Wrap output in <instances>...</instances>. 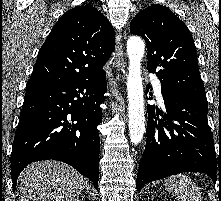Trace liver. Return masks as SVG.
I'll return each mask as SVG.
<instances>
[{
	"instance_id": "liver-1",
	"label": "liver",
	"mask_w": 221,
	"mask_h": 201,
	"mask_svg": "<svg viewBox=\"0 0 221 201\" xmlns=\"http://www.w3.org/2000/svg\"><path fill=\"white\" fill-rule=\"evenodd\" d=\"M18 181L20 201H68L87 186L75 169L53 160L28 165Z\"/></svg>"
}]
</instances>
